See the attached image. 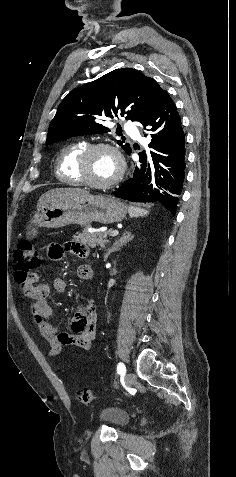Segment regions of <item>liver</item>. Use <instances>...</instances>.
Masks as SVG:
<instances>
[{
	"instance_id": "obj_1",
	"label": "liver",
	"mask_w": 236,
	"mask_h": 477,
	"mask_svg": "<svg viewBox=\"0 0 236 477\" xmlns=\"http://www.w3.org/2000/svg\"><path fill=\"white\" fill-rule=\"evenodd\" d=\"M84 194H88V192L80 188H56L49 190L39 198L37 210L39 211L48 204H57L64 200Z\"/></svg>"
}]
</instances>
